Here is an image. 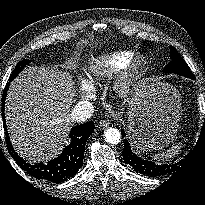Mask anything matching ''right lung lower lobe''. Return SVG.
Segmentation results:
<instances>
[{
    "label": "right lung lower lobe",
    "mask_w": 205,
    "mask_h": 205,
    "mask_svg": "<svg viewBox=\"0 0 205 205\" xmlns=\"http://www.w3.org/2000/svg\"><path fill=\"white\" fill-rule=\"evenodd\" d=\"M9 86L10 81L6 84L2 96V117L6 134V144L12 158L24 171L37 179L60 183L74 176L83 164L85 144L94 131V122L89 121L73 127L69 134L70 144L64 148L62 154L57 158L49 161L47 164L38 163L31 165L18 156L9 140L4 116V104Z\"/></svg>",
    "instance_id": "right-lung-lower-lobe-1"
}]
</instances>
